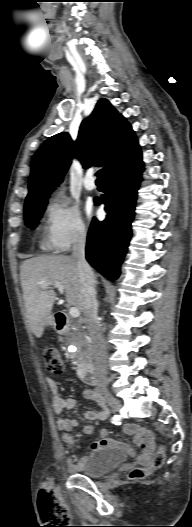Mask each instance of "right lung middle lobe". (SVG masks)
Wrapping results in <instances>:
<instances>
[{"mask_svg": "<svg viewBox=\"0 0 192 527\" xmlns=\"http://www.w3.org/2000/svg\"><path fill=\"white\" fill-rule=\"evenodd\" d=\"M46 204L47 200H44L25 207V223L28 227H30L31 229H34L36 227L38 220L40 219L42 213L46 208Z\"/></svg>", "mask_w": 192, "mask_h": 527, "instance_id": "right-lung-middle-lobe-1", "label": "right lung middle lobe"}]
</instances>
